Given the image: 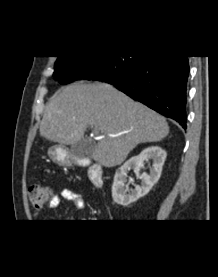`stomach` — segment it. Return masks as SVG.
<instances>
[{
    "mask_svg": "<svg viewBox=\"0 0 218 277\" xmlns=\"http://www.w3.org/2000/svg\"><path fill=\"white\" fill-rule=\"evenodd\" d=\"M48 156L54 162L60 165H70V158L67 150L61 146H52L48 149Z\"/></svg>",
    "mask_w": 218,
    "mask_h": 277,
    "instance_id": "obj_1",
    "label": "stomach"
}]
</instances>
